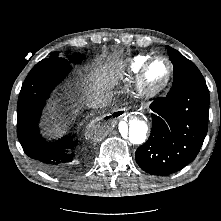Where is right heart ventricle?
Returning a JSON list of instances; mask_svg holds the SVG:
<instances>
[{
    "instance_id": "right-heart-ventricle-1",
    "label": "right heart ventricle",
    "mask_w": 221,
    "mask_h": 221,
    "mask_svg": "<svg viewBox=\"0 0 221 221\" xmlns=\"http://www.w3.org/2000/svg\"><path fill=\"white\" fill-rule=\"evenodd\" d=\"M152 57L151 54H138L130 59L128 70L131 74H138L146 61Z\"/></svg>"
}]
</instances>
